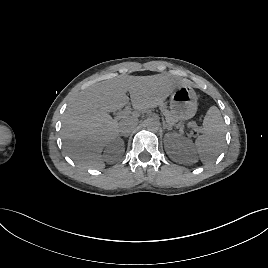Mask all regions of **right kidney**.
<instances>
[{
	"label": "right kidney",
	"mask_w": 268,
	"mask_h": 268,
	"mask_svg": "<svg viewBox=\"0 0 268 268\" xmlns=\"http://www.w3.org/2000/svg\"><path fill=\"white\" fill-rule=\"evenodd\" d=\"M124 151V142L118 138L106 146L103 158L106 162L113 164L121 159Z\"/></svg>",
	"instance_id": "obj_1"
}]
</instances>
